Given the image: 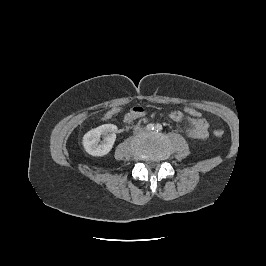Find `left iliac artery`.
Wrapping results in <instances>:
<instances>
[{
    "label": "left iliac artery",
    "instance_id": "44dca946",
    "mask_svg": "<svg viewBox=\"0 0 266 266\" xmlns=\"http://www.w3.org/2000/svg\"><path fill=\"white\" fill-rule=\"evenodd\" d=\"M155 130H156V131H161V130H162V125H161V124H157V125L155 126Z\"/></svg>",
    "mask_w": 266,
    "mask_h": 266
}]
</instances>
